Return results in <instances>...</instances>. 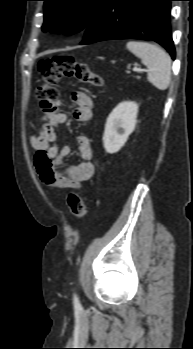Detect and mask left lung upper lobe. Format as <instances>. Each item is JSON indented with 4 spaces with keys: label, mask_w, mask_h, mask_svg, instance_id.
<instances>
[{
    "label": "left lung upper lobe",
    "mask_w": 193,
    "mask_h": 349,
    "mask_svg": "<svg viewBox=\"0 0 193 349\" xmlns=\"http://www.w3.org/2000/svg\"><path fill=\"white\" fill-rule=\"evenodd\" d=\"M44 1L43 30L74 34L86 29L95 19L106 0H42Z\"/></svg>",
    "instance_id": "left-lung-upper-lobe-1"
}]
</instances>
